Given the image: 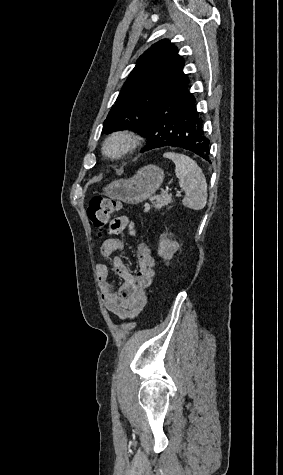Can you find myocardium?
Listing matches in <instances>:
<instances>
[{"instance_id": "f54148a6", "label": "myocardium", "mask_w": 283, "mask_h": 475, "mask_svg": "<svg viewBox=\"0 0 283 475\" xmlns=\"http://www.w3.org/2000/svg\"><path fill=\"white\" fill-rule=\"evenodd\" d=\"M142 141L141 134L130 128L117 129L111 132L102 143L105 157L118 160L134 153Z\"/></svg>"}]
</instances>
